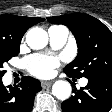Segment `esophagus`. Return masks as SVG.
<instances>
[{
  "instance_id": "34e87169",
  "label": "esophagus",
  "mask_w": 112,
  "mask_h": 112,
  "mask_svg": "<svg viewBox=\"0 0 112 112\" xmlns=\"http://www.w3.org/2000/svg\"><path fill=\"white\" fill-rule=\"evenodd\" d=\"M52 83H53V81H42L41 85L43 88H49V87H51Z\"/></svg>"
}]
</instances>
